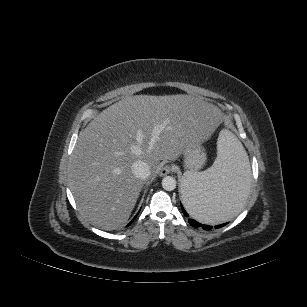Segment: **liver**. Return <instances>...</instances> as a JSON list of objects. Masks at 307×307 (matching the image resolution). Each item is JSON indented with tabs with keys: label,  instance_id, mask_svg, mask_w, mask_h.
<instances>
[{
	"label": "liver",
	"instance_id": "liver-1",
	"mask_svg": "<svg viewBox=\"0 0 307 307\" xmlns=\"http://www.w3.org/2000/svg\"><path fill=\"white\" fill-rule=\"evenodd\" d=\"M221 120L212 104L189 95L129 96L100 112L79 134L69 186L81 215L104 230L124 226L143 180L131 170L176 160L191 141L207 140Z\"/></svg>",
	"mask_w": 307,
	"mask_h": 307
}]
</instances>
